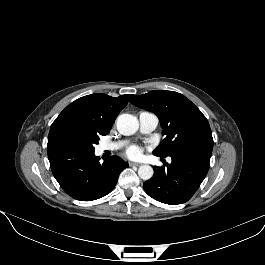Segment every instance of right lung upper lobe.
<instances>
[{"instance_id":"1","label":"right lung upper lobe","mask_w":265,"mask_h":265,"mask_svg":"<svg viewBox=\"0 0 265 265\" xmlns=\"http://www.w3.org/2000/svg\"><path fill=\"white\" fill-rule=\"evenodd\" d=\"M131 94L111 97L96 93L81 97L69 104L50 128L47 149L54 146L56 132L66 126H79L100 135H107L119 112L126 106Z\"/></svg>"}]
</instances>
